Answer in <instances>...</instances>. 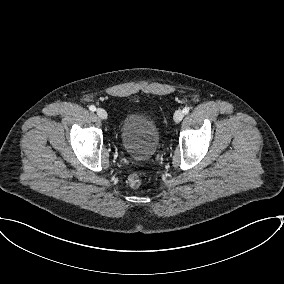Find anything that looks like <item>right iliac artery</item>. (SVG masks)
I'll use <instances>...</instances> for the list:
<instances>
[{
	"label": "right iliac artery",
	"instance_id": "1",
	"mask_svg": "<svg viewBox=\"0 0 284 284\" xmlns=\"http://www.w3.org/2000/svg\"><path fill=\"white\" fill-rule=\"evenodd\" d=\"M89 110L92 111V112H94V111L96 110V107H95L94 105H90V106H89Z\"/></svg>",
	"mask_w": 284,
	"mask_h": 284
}]
</instances>
